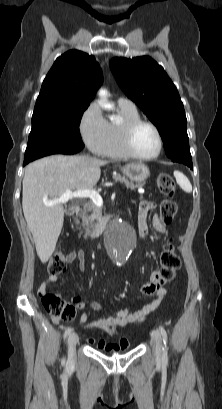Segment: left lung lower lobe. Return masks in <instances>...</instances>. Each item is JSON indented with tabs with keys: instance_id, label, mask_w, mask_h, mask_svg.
<instances>
[{
	"instance_id": "obj_1",
	"label": "left lung lower lobe",
	"mask_w": 222,
	"mask_h": 409,
	"mask_svg": "<svg viewBox=\"0 0 222 409\" xmlns=\"http://www.w3.org/2000/svg\"><path fill=\"white\" fill-rule=\"evenodd\" d=\"M173 162H178L187 165L190 167V169H193V164H192V157L191 155L189 156H182V157H177V158H172L171 159Z\"/></svg>"
}]
</instances>
